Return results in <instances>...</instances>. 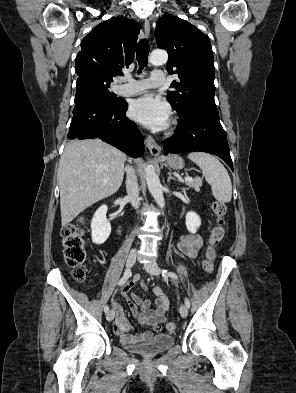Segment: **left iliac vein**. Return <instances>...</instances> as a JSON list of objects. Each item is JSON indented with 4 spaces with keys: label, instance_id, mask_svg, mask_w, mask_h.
Masks as SVG:
<instances>
[{
    "label": "left iliac vein",
    "instance_id": "1",
    "mask_svg": "<svg viewBox=\"0 0 296 393\" xmlns=\"http://www.w3.org/2000/svg\"><path fill=\"white\" fill-rule=\"evenodd\" d=\"M144 269H145L148 273H150L151 275H159V274H160L158 265H157V263L154 262V261H151V262H149V263H147V264H144ZM179 312H180V315H181L183 318H186L187 315H188V309H187V307H186L184 304H181V305H180V307H179Z\"/></svg>",
    "mask_w": 296,
    "mask_h": 393
}]
</instances>
